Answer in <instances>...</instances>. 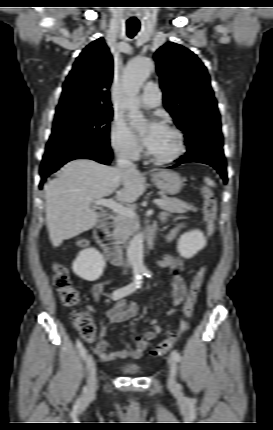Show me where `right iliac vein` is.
Here are the masks:
<instances>
[{"label": "right iliac vein", "instance_id": "obj_1", "mask_svg": "<svg viewBox=\"0 0 273 430\" xmlns=\"http://www.w3.org/2000/svg\"><path fill=\"white\" fill-rule=\"evenodd\" d=\"M86 367L88 373V382L85 390V396L86 398H91L94 396L96 391L97 378L95 361L90 354H87L86 356Z\"/></svg>", "mask_w": 273, "mask_h": 430}]
</instances>
